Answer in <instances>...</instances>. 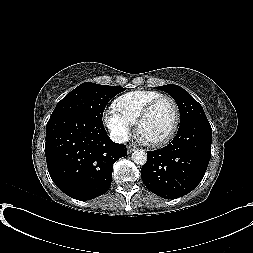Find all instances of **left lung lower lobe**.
<instances>
[{"mask_svg": "<svg viewBox=\"0 0 253 253\" xmlns=\"http://www.w3.org/2000/svg\"><path fill=\"white\" fill-rule=\"evenodd\" d=\"M212 129L207 118L190 119L179 126L172 142L147 152L141 169L145 186L154 194L178 198L201 182L211 157Z\"/></svg>", "mask_w": 253, "mask_h": 253, "instance_id": "left-lung-lower-lobe-1", "label": "left lung lower lobe"}]
</instances>
